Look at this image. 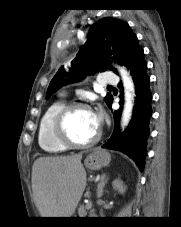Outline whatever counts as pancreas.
Returning <instances> with one entry per match:
<instances>
[{
  "instance_id": "cf45deb5",
  "label": "pancreas",
  "mask_w": 181,
  "mask_h": 227,
  "mask_svg": "<svg viewBox=\"0 0 181 227\" xmlns=\"http://www.w3.org/2000/svg\"><path fill=\"white\" fill-rule=\"evenodd\" d=\"M86 206L84 205H81L78 209V214H79V217H86L87 215V210H86Z\"/></svg>"
}]
</instances>
